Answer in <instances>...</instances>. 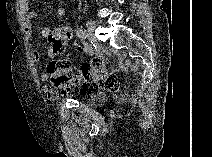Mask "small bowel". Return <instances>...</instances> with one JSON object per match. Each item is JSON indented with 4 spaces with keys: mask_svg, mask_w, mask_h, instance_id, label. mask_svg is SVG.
Segmentation results:
<instances>
[{
    "mask_svg": "<svg viewBox=\"0 0 212 157\" xmlns=\"http://www.w3.org/2000/svg\"><path fill=\"white\" fill-rule=\"evenodd\" d=\"M20 10H21V25L23 28L24 33L27 37H31L33 34V21L37 18V12L31 8L30 2L27 0H23L20 2ZM65 15V10L63 7H58L56 10V16L61 19ZM51 29L48 26H45L41 30V35L43 37H48L50 35ZM75 50L81 54H92V49L85 43L77 41L74 44ZM50 57L53 56L51 50L48 51ZM33 59L38 61L41 57V53L39 50L33 51ZM101 60L97 58H93L90 62H85L81 65V68L89 67L94 68L96 67ZM40 80L43 83V91L45 95L50 100H55L58 97V92L54 86L49 83L50 75L46 72L42 73L40 76Z\"/></svg>",
    "mask_w": 212,
    "mask_h": 157,
    "instance_id": "c3829d8e",
    "label": "small bowel"
}]
</instances>
